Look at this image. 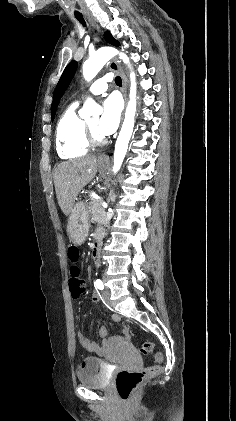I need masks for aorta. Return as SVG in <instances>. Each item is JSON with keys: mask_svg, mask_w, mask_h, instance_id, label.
I'll use <instances>...</instances> for the list:
<instances>
[{"mask_svg": "<svg viewBox=\"0 0 236 421\" xmlns=\"http://www.w3.org/2000/svg\"><path fill=\"white\" fill-rule=\"evenodd\" d=\"M115 54H119L120 58H122L123 62L128 64L129 58L124 54V52H119L117 48H113V46H102V48H98L94 54H90L88 60H85L82 68H83V76L85 80H92L96 74H98L99 70L103 68L104 64H106L109 58L115 56ZM130 66V64H128ZM131 72L129 74L131 80L130 92H129V100L127 102L126 110H125V118L123 120L122 128L119 132V136L116 140L115 150H114V158H113V172H118L127 152L128 142L131 138V134L134 128L135 122V114L137 108V100H136V76L134 70H132V66H130ZM88 102H92V100H88ZM87 104V102H86Z\"/></svg>", "mask_w": 236, "mask_h": 421, "instance_id": "1", "label": "aorta"}]
</instances>
